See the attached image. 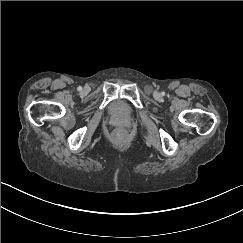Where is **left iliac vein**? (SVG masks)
Segmentation results:
<instances>
[{
  "instance_id": "obj_1",
  "label": "left iliac vein",
  "mask_w": 243,
  "mask_h": 243,
  "mask_svg": "<svg viewBox=\"0 0 243 243\" xmlns=\"http://www.w3.org/2000/svg\"><path fill=\"white\" fill-rule=\"evenodd\" d=\"M155 97L158 99V98H160V94L159 93H156L155 94Z\"/></svg>"
}]
</instances>
